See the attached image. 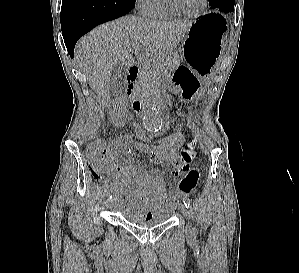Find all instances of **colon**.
<instances>
[{"mask_svg": "<svg viewBox=\"0 0 299 273\" xmlns=\"http://www.w3.org/2000/svg\"><path fill=\"white\" fill-rule=\"evenodd\" d=\"M183 142L184 134L181 130L162 138H153L147 134L139 133L130 141L121 135L114 139L91 145L87 151L89 166L95 178L103 179L106 175L104 156L108 151L121 150L128 144L140 151L142 149L156 150L178 146ZM199 177V169L189 170L180 180L178 191L183 195L191 194L197 186Z\"/></svg>", "mask_w": 299, "mask_h": 273, "instance_id": "1", "label": "colon"}]
</instances>
